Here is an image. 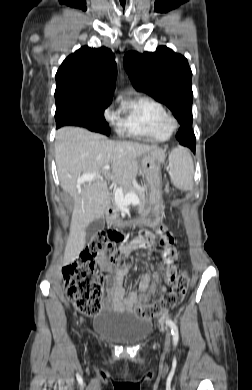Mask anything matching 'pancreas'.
Returning <instances> with one entry per match:
<instances>
[{"label":"pancreas","instance_id":"cf45deb5","mask_svg":"<svg viewBox=\"0 0 252 390\" xmlns=\"http://www.w3.org/2000/svg\"><path fill=\"white\" fill-rule=\"evenodd\" d=\"M134 193H136L137 191H133ZM145 192V191H144ZM146 202V196L144 195V197H141V200L140 201H137L136 202V205L138 206V207H135V210H138V212L139 213H141L142 212V210H143V205H144V203ZM114 206L115 207H118V205H117V202L116 201H114Z\"/></svg>","mask_w":252,"mask_h":390}]
</instances>
